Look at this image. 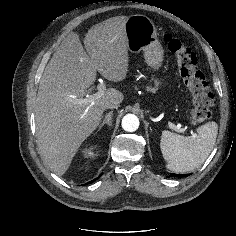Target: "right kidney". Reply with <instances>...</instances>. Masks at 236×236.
Here are the masks:
<instances>
[{"label": "right kidney", "mask_w": 236, "mask_h": 236, "mask_svg": "<svg viewBox=\"0 0 236 236\" xmlns=\"http://www.w3.org/2000/svg\"><path fill=\"white\" fill-rule=\"evenodd\" d=\"M84 155H85L86 157H91V156H93L92 148H90V149H88V150H85Z\"/></svg>", "instance_id": "right-kidney-1"}]
</instances>
